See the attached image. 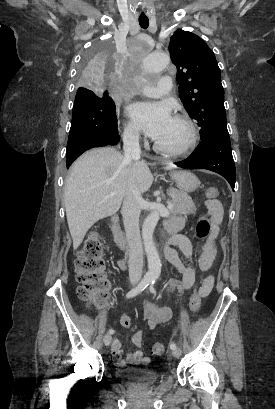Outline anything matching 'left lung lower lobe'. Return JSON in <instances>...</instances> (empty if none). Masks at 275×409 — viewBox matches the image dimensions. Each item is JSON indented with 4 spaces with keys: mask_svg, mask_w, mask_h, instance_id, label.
I'll return each instance as SVG.
<instances>
[{
    "mask_svg": "<svg viewBox=\"0 0 275 409\" xmlns=\"http://www.w3.org/2000/svg\"><path fill=\"white\" fill-rule=\"evenodd\" d=\"M178 166L185 169L214 171L222 175L234 190L236 170L229 134H215L201 141L196 150Z\"/></svg>",
    "mask_w": 275,
    "mask_h": 409,
    "instance_id": "0a47b994",
    "label": "left lung lower lobe"
}]
</instances>
